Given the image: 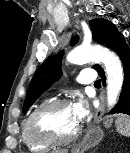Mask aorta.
Returning a JSON list of instances; mask_svg holds the SVG:
<instances>
[{
  "instance_id": "1",
  "label": "aorta",
  "mask_w": 130,
  "mask_h": 153,
  "mask_svg": "<svg viewBox=\"0 0 130 153\" xmlns=\"http://www.w3.org/2000/svg\"><path fill=\"white\" fill-rule=\"evenodd\" d=\"M67 60L72 64H84L90 61L101 62L107 75V106L112 108L117 102L123 84V68L119 58L109 49L99 46L77 47Z\"/></svg>"
}]
</instances>
